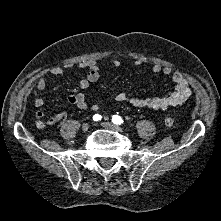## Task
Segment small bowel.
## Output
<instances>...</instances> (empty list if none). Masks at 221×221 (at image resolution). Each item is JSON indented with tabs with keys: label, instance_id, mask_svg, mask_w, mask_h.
<instances>
[{
	"label": "small bowel",
	"instance_id": "1",
	"mask_svg": "<svg viewBox=\"0 0 221 221\" xmlns=\"http://www.w3.org/2000/svg\"><path fill=\"white\" fill-rule=\"evenodd\" d=\"M113 67H118L120 62L113 60L111 62ZM140 60L136 61V65H141ZM76 66L79 69H88L86 76L79 83V91L75 93H69L66 95V99L79 108L85 109L88 107L86 95L84 91L92 84L96 83L99 79V65L96 60L88 59L79 61L77 64H68L66 67L55 66L50 70V73L54 76H62L66 73L67 69H71ZM151 71L154 74H163L168 77L174 83V90L162 97H135L130 96L125 92H120L116 95V100L122 103H128L135 108L149 109L157 111H165L170 108L178 107L182 105L192 94V88L187 78L180 72L173 71L169 67H163L158 63L151 65ZM36 88L38 91H44L47 88V81L42 76L37 80ZM34 97V105L38 108L44 106V99L36 92ZM101 109L100 105H93L92 110L98 111ZM42 113H38V117H42ZM66 117L64 112H60L55 115L56 120H62Z\"/></svg>",
	"mask_w": 221,
	"mask_h": 221
}]
</instances>
